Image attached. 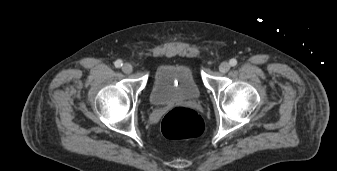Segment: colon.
I'll return each mask as SVG.
<instances>
[{
  "label": "colon",
  "mask_w": 337,
  "mask_h": 171,
  "mask_svg": "<svg viewBox=\"0 0 337 171\" xmlns=\"http://www.w3.org/2000/svg\"><path fill=\"white\" fill-rule=\"evenodd\" d=\"M161 130L166 138L172 140L194 138L203 133L204 122L194 110L178 107L164 116Z\"/></svg>",
  "instance_id": "colon-1"
}]
</instances>
